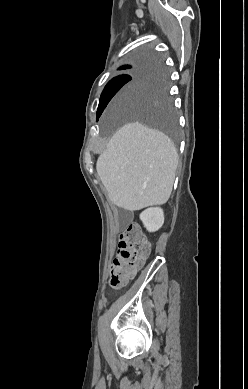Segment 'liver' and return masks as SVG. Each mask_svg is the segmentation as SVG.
Wrapping results in <instances>:
<instances>
[{"label":"liver","mask_w":248,"mask_h":389,"mask_svg":"<svg viewBox=\"0 0 248 389\" xmlns=\"http://www.w3.org/2000/svg\"><path fill=\"white\" fill-rule=\"evenodd\" d=\"M133 94L127 87L116 101L128 106L134 102ZM177 165L178 153L167 135L133 122L113 135L97 160L96 170L111 202L136 211L168 201Z\"/></svg>","instance_id":"6515ba94"}]
</instances>
